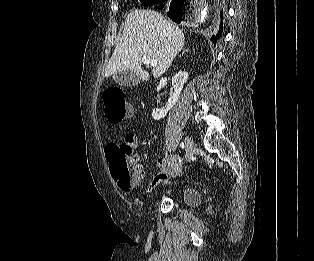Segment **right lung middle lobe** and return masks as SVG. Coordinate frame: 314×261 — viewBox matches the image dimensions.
Segmentation results:
<instances>
[{
    "label": "right lung middle lobe",
    "instance_id": "right-lung-middle-lobe-1",
    "mask_svg": "<svg viewBox=\"0 0 314 261\" xmlns=\"http://www.w3.org/2000/svg\"><path fill=\"white\" fill-rule=\"evenodd\" d=\"M140 1L142 2V5L144 6H151V5L158 4L162 0H140Z\"/></svg>",
    "mask_w": 314,
    "mask_h": 261
}]
</instances>
